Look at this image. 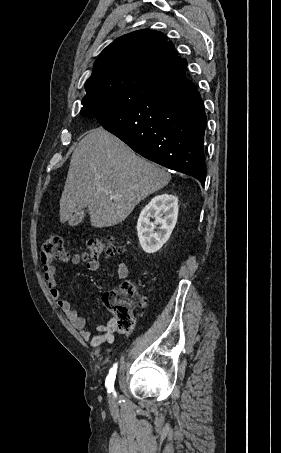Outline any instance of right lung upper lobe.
Returning a JSON list of instances; mask_svg holds the SVG:
<instances>
[{"label": "right lung upper lobe", "instance_id": "right-lung-upper-lobe-1", "mask_svg": "<svg viewBox=\"0 0 281 453\" xmlns=\"http://www.w3.org/2000/svg\"><path fill=\"white\" fill-rule=\"evenodd\" d=\"M187 62L158 31L139 30L119 37L96 60L85 83L80 113L117 101H129L149 89L186 76Z\"/></svg>", "mask_w": 281, "mask_h": 453}]
</instances>
